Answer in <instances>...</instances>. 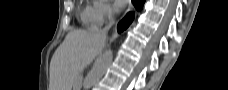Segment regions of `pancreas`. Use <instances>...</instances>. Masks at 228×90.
I'll return each instance as SVG.
<instances>
[{
  "mask_svg": "<svg viewBox=\"0 0 228 90\" xmlns=\"http://www.w3.org/2000/svg\"><path fill=\"white\" fill-rule=\"evenodd\" d=\"M81 84H82V78L78 77L76 82H75V84H74V86H75L76 89H78L81 86Z\"/></svg>",
  "mask_w": 228,
  "mask_h": 90,
  "instance_id": "1",
  "label": "pancreas"
}]
</instances>
